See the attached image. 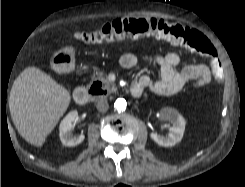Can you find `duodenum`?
Returning a JSON list of instances; mask_svg holds the SVG:
<instances>
[{"label":"duodenum","instance_id":"410a0bca","mask_svg":"<svg viewBox=\"0 0 245 187\" xmlns=\"http://www.w3.org/2000/svg\"><path fill=\"white\" fill-rule=\"evenodd\" d=\"M130 92L133 96H139L141 90L137 85H132ZM101 94L100 87H78L75 89L73 97L77 104L83 105L87 103L92 96H101Z\"/></svg>","mask_w":245,"mask_h":187}]
</instances>
